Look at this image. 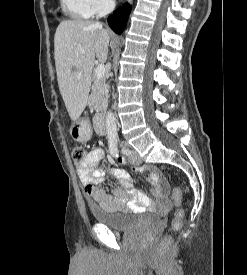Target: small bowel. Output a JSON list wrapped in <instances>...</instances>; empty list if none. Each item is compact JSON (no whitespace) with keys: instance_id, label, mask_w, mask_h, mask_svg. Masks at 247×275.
<instances>
[{"instance_id":"small-bowel-1","label":"small bowel","mask_w":247,"mask_h":275,"mask_svg":"<svg viewBox=\"0 0 247 275\" xmlns=\"http://www.w3.org/2000/svg\"><path fill=\"white\" fill-rule=\"evenodd\" d=\"M104 152L101 148L90 150L85 159L77 164L78 176L86 187L92 186V192L88 193L93 202L102 210L108 212H118L127 209L141 210L142 208L154 209L157 205L160 209L167 211L170 208L168 198V185L156 168H149L152 194L156 201L153 202L144 192L134 188L130 174L123 169H113L112 175L119 182L120 187L111 191L100 188L105 180V172L97 168V164L103 158ZM119 163H124L123 158L118 159ZM145 167H136L135 171L144 173Z\"/></svg>"}]
</instances>
